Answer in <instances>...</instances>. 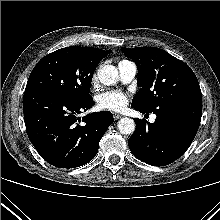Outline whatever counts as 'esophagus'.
Instances as JSON below:
<instances>
[{"label": "esophagus", "instance_id": "34e87169", "mask_svg": "<svg viewBox=\"0 0 220 220\" xmlns=\"http://www.w3.org/2000/svg\"><path fill=\"white\" fill-rule=\"evenodd\" d=\"M113 117H114V120H118V119H120L122 117V115L114 113Z\"/></svg>", "mask_w": 220, "mask_h": 220}]
</instances>
